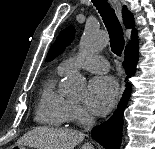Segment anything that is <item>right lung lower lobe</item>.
<instances>
[{
  "instance_id": "right-lung-lower-lobe-1",
  "label": "right lung lower lobe",
  "mask_w": 155,
  "mask_h": 149,
  "mask_svg": "<svg viewBox=\"0 0 155 149\" xmlns=\"http://www.w3.org/2000/svg\"><path fill=\"white\" fill-rule=\"evenodd\" d=\"M137 60L138 54L134 55L125 53L123 66L126 69L128 77L135 73ZM130 92L131 86L127 83L122 100L119 102L118 108L113 116L107 122L92 129V138L100 143L105 149H119L123 127V111L129 100Z\"/></svg>"
}]
</instances>
